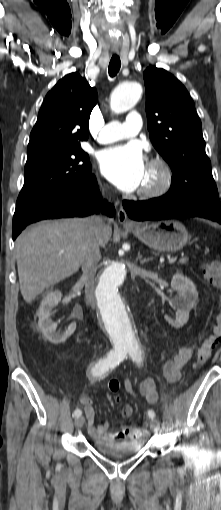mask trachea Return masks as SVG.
Listing matches in <instances>:
<instances>
[{
	"instance_id": "trachea-1",
	"label": "trachea",
	"mask_w": 221,
	"mask_h": 510,
	"mask_svg": "<svg viewBox=\"0 0 221 510\" xmlns=\"http://www.w3.org/2000/svg\"><path fill=\"white\" fill-rule=\"evenodd\" d=\"M120 67H121L120 58H119L118 55L114 54L111 57V60H110V63H109V67H108L109 75L111 77H114L119 72Z\"/></svg>"
}]
</instances>
